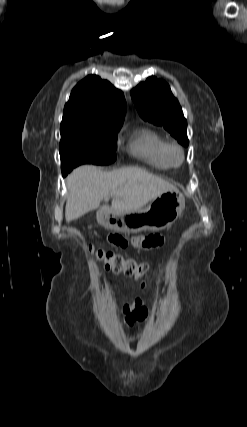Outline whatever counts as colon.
Masks as SVG:
<instances>
[{
	"instance_id": "5ec220e1",
	"label": "colon",
	"mask_w": 247,
	"mask_h": 427,
	"mask_svg": "<svg viewBox=\"0 0 247 427\" xmlns=\"http://www.w3.org/2000/svg\"><path fill=\"white\" fill-rule=\"evenodd\" d=\"M90 251L94 254L97 260L105 265L108 270L116 273H123L127 276L134 277L135 279L142 280V285L145 286V280L149 274L148 264L138 262L131 258H126L111 250L91 247Z\"/></svg>"
}]
</instances>
